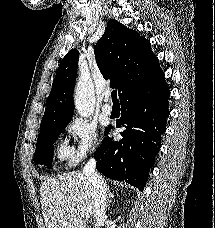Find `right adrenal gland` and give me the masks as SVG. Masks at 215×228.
Segmentation results:
<instances>
[{
	"label": "right adrenal gland",
	"mask_w": 215,
	"mask_h": 228,
	"mask_svg": "<svg viewBox=\"0 0 215 228\" xmlns=\"http://www.w3.org/2000/svg\"><path fill=\"white\" fill-rule=\"evenodd\" d=\"M108 198H111V200H112V198H114L113 192H109ZM108 202H109V200H108ZM108 202H107V208H108V206H110V204H108Z\"/></svg>",
	"instance_id": "right-adrenal-gland-1"
}]
</instances>
